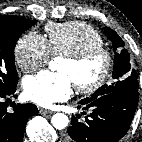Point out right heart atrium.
<instances>
[{
  "instance_id": "obj_1",
  "label": "right heart atrium",
  "mask_w": 142,
  "mask_h": 142,
  "mask_svg": "<svg viewBox=\"0 0 142 142\" xmlns=\"http://www.w3.org/2000/svg\"><path fill=\"white\" fill-rule=\"evenodd\" d=\"M17 66L25 73L47 64L51 57L47 40L37 32H27L19 38L14 48Z\"/></svg>"
}]
</instances>
